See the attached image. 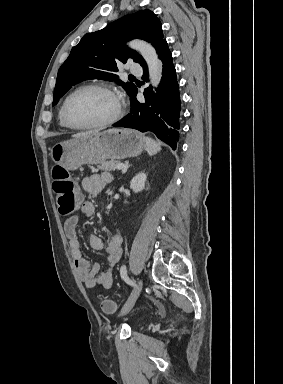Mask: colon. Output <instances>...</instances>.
<instances>
[{
	"mask_svg": "<svg viewBox=\"0 0 283 384\" xmlns=\"http://www.w3.org/2000/svg\"><path fill=\"white\" fill-rule=\"evenodd\" d=\"M52 186L57 196L58 211L63 216L71 215L79 205V196L69 173L60 166H55L52 171ZM103 312L114 313L116 306L112 300L105 299L101 302Z\"/></svg>",
	"mask_w": 283,
	"mask_h": 384,
	"instance_id": "colon-1",
	"label": "colon"
}]
</instances>
